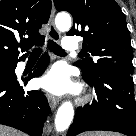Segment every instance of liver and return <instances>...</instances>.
<instances>
[{"label": "liver", "mask_w": 136, "mask_h": 136, "mask_svg": "<svg viewBox=\"0 0 136 136\" xmlns=\"http://www.w3.org/2000/svg\"><path fill=\"white\" fill-rule=\"evenodd\" d=\"M0 136H25V135L19 133L18 131L10 127L0 125Z\"/></svg>", "instance_id": "liver-1"}]
</instances>
